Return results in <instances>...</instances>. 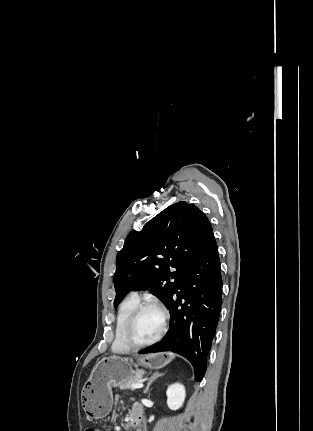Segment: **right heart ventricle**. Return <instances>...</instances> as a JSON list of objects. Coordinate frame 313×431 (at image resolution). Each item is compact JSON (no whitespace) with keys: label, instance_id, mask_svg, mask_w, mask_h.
<instances>
[{"label":"right heart ventricle","instance_id":"1","mask_svg":"<svg viewBox=\"0 0 313 431\" xmlns=\"http://www.w3.org/2000/svg\"><path fill=\"white\" fill-rule=\"evenodd\" d=\"M139 303V297L131 294L125 297L119 304L116 314L114 340L112 343L113 352L124 353L131 349L124 341V329L131 312Z\"/></svg>","mask_w":313,"mask_h":431}]
</instances>
